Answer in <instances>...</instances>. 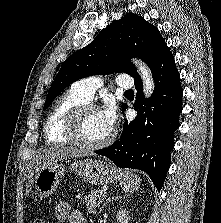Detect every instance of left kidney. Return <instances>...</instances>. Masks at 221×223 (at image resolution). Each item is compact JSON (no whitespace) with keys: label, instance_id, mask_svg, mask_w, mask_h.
<instances>
[{"label":"left kidney","instance_id":"1","mask_svg":"<svg viewBox=\"0 0 221 223\" xmlns=\"http://www.w3.org/2000/svg\"><path fill=\"white\" fill-rule=\"evenodd\" d=\"M116 218H117V223H128V221L130 220V216L128 214V211H126V209L119 210Z\"/></svg>","mask_w":221,"mask_h":223}]
</instances>
